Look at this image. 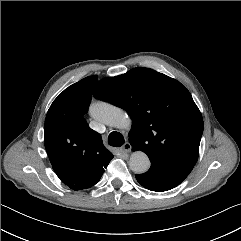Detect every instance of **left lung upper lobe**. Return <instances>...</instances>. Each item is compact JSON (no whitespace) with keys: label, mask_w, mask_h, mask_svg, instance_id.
Wrapping results in <instances>:
<instances>
[{"label":"left lung upper lobe","mask_w":241,"mask_h":241,"mask_svg":"<svg viewBox=\"0 0 241 241\" xmlns=\"http://www.w3.org/2000/svg\"><path fill=\"white\" fill-rule=\"evenodd\" d=\"M94 97L129 113L130 144L151 164L189 175L198 159L203 119L180 82L150 68H133L100 80Z\"/></svg>","instance_id":"obj_1"}]
</instances>
